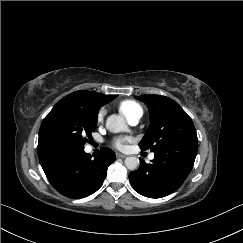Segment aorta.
<instances>
[{"mask_svg":"<svg viewBox=\"0 0 243 243\" xmlns=\"http://www.w3.org/2000/svg\"><path fill=\"white\" fill-rule=\"evenodd\" d=\"M106 128L112 133H119L127 131L128 127L123 117L120 115H110L106 121ZM125 166L127 169L134 171L139 166V159L131 156L125 159Z\"/></svg>","mask_w":243,"mask_h":243,"instance_id":"1","label":"aorta"}]
</instances>
